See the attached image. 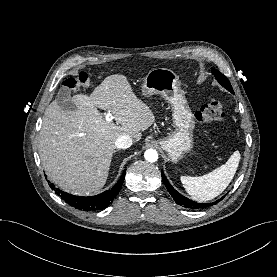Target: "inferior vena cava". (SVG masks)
I'll return each instance as SVG.
<instances>
[{
    "label": "inferior vena cava",
    "mask_w": 277,
    "mask_h": 277,
    "mask_svg": "<svg viewBox=\"0 0 277 277\" xmlns=\"http://www.w3.org/2000/svg\"><path fill=\"white\" fill-rule=\"evenodd\" d=\"M132 145V138L128 135H121L116 139L115 146L119 149H126Z\"/></svg>",
    "instance_id": "602c4592"
}]
</instances>
